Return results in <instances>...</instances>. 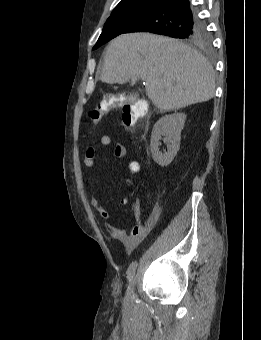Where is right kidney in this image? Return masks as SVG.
<instances>
[{
  "label": "right kidney",
  "instance_id": "ca27d5eb",
  "mask_svg": "<svg viewBox=\"0 0 261 340\" xmlns=\"http://www.w3.org/2000/svg\"><path fill=\"white\" fill-rule=\"evenodd\" d=\"M186 115L174 113L160 118L154 125L151 135V152L153 160L161 167L168 166L180 148L181 131L184 127ZM164 136L167 152L160 151V140Z\"/></svg>",
  "mask_w": 261,
  "mask_h": 340
}]
</instances>
